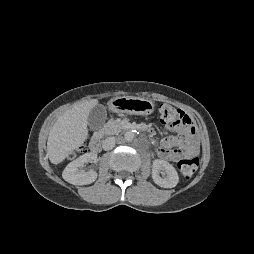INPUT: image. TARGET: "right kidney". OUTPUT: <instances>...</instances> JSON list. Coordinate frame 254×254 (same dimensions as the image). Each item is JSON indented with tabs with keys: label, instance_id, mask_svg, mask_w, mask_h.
Wrapping results in <instances>:
<instances>
[{
	"label": "right kidney",
	"instance_id": "right-kidney-1",
	"mask_svg": "<svg viewBox=\"0 0 254 254\" xmlns=\"http://www.w3.org/2000/svg\"><path fill=\"white\" fill-rule=\"evenodd\" d=\"M96 159L97 155L91 152L78 157L66 166L62 173L63 179L73 185L91 184L96 180L97 173L93 170L86 172L83 167Z\"/></svg>",
	"mask_w": 254,
	"mask_h": 254
}]
</instances>
